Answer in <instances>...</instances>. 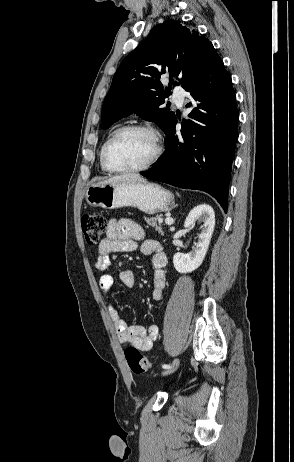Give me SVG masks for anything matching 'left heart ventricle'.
I'll return each mask as SVG.
<instances>
[{
  "mask_svg": "<svg viewBox=\"0 0 294 462\" xmlns=\"http://www.w3.org/2000/svg\"><path fill=\"white\" fill-rule=\"evenodd\" d=\"M154 149L153 138L148 133L127 131L111 145L108 160L115 168H133L144 164Z\"/></svg>",
  "mask_w": 294,
  "mask_h": 462,
  "instance_id": "left-heart-ventricle-1",
  "label": "left heart ventricle"
}]
</instances>
